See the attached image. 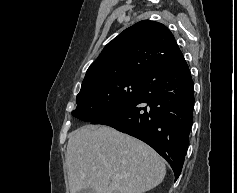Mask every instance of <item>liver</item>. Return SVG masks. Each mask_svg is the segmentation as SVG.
<instances>
[{"instance_id":"obj_1","label":"liver","mask_w":237,"mask_h":193,"mask_svg":"<svg viewBox=\"0 0 237 193\" xmlns=\"http://www.w3.org/2000/svg\"><path fill=\"white\" fill-rule=\"evenodd\" d=\"M70 193H144L164 179L162 158L144 142L108 126L71 133L66 152Z\"/></svg>"}]
</instances>
